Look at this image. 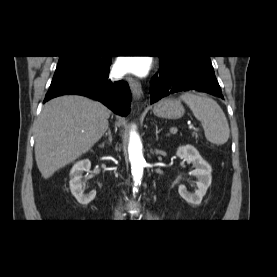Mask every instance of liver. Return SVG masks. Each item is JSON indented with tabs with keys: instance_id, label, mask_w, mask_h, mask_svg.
Returning <instances> with one entry per match:
<instances>
[{
	"instance_id": "liver-1",
	"label": "liver",
	"mask_w": 277,
	"mask_h": 277,
	"mask_svg": "<svg viewBox=\"0 0 277 277\" xmlns=\"http://www.w3.org/2000/svg\"><path fill=\"white\" fill-rule=\"evenodd\" d=\"M110 110L82 96H62L47 102L37 120L35 159L48 179L86 153L108 129Z\"/></svg>"
}]
</instances>
